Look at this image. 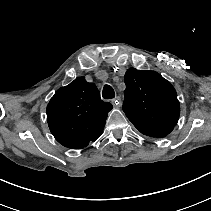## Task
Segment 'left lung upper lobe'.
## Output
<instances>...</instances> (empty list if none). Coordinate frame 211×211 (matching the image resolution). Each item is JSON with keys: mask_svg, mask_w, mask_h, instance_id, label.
<instances>
[{"mask_svg": "<svg viewBox=\"0 0 211 211\" xmlns=\"http://www.w3.org/2000/svg\"><path fill=\"white\" fill-rule=\"evenodd\" d=\"M123 111L133 125L151 138L167 136L177 124L180 106L175 88L154 71L127 70Z\"/></svg>", "mask_w": 211, "mask_h": 211, "instance_id": "obj_1", "label": "left lung upper lobe"}]
</instances>
